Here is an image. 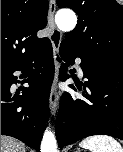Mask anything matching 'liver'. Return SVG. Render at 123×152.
<instances>
[{"label": "liver", "mask_w": 123, "mask_h": 152, "mask_svg": "<svg viewBox=\"0 0 123 152\" xmlns=\"http://www.w3.org/2000/svg\"><path fill=\"white\" fill-rule=\"evenodd\" d=\"M1 152H25V146L13 137L1 135Z\"/></svg>", "instance_id": "liver-1"}]
</instances>
